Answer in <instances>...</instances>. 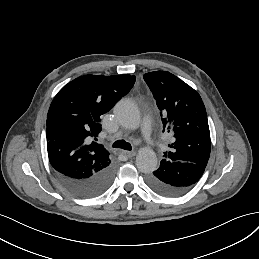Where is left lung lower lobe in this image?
Returning <instances> with one entry per match:
<instances>
[{
	"mask_svg": "<svg viewBox=\"0 0 259 259\" xmlns=\"http://www.w3.org/2000/svg\"><path fill=\"white\" fill-rule=\"evenodd\" d=\"M205 167L191 162L163 159L160 167L147 176L148 186L156 193L178 197L192 189L201 178Z\"/></svg>",
	"mask_w": 259,
	"mask_h": 259,
	"instance_id": "1",
	"label": "left lung lower lobe"
}]
</instances>
